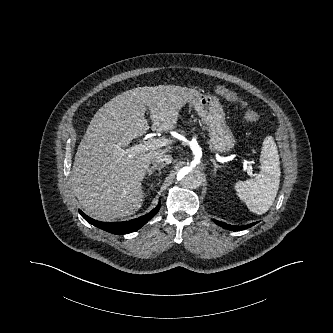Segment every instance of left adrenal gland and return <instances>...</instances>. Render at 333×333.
<instances>
[{
    "instance_id": "left-adrenal-gland-1",
    "label": "left adrenal gland",
    "mask_w": 333,
    "mask_h": 333,
    "mask_svg": "<svg viewBox=\"0 0 333 333\" xmlns=\"http://www.w3.org/2000/svg\"><path fill=\"white\" fill-rule=\"evenodd\" d=\"M211 161H212V163H213V165H214V168H213V171H214V172H213V175H216L217 170L220 169L221 166H220L219 164H217L216 161H215L214 159H211Z\"/></svg>"
}]
</instances>
